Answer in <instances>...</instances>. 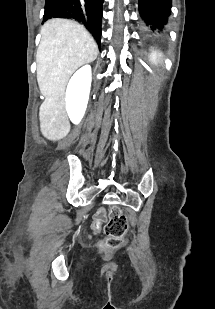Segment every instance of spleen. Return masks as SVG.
Returning <instances> with one entry per match:
<instances>
[{"label": "spleen", "mask_w": 215, "mask_h": 309, "mask_svg": "<svg viewBox=\"0 0 215 309\" xmlns=\"http://www.w3.org/2000/svg\"><path fill=\"white\" fill-rule=\"evenodd\" d=\"M149 60H151L152 64H158L160 60H162V52H158V50H152L149 54Z\"/></svg>", "instance_id": "3e777b00"}]
</instances>
